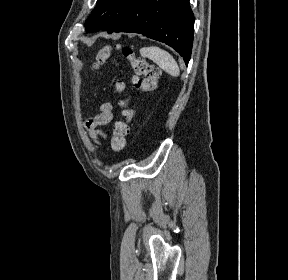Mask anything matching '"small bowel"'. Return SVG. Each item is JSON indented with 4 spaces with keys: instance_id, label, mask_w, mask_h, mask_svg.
<instances>
[{
    "instance_id": "c3829d8e",
    "label": "small bowel",
    "mask_w": 288,
    "mask_h": 280,
    "mask_svg": "<svg viewBox=\"0 0 288 280\" xmlns=\"http://www.w3.org/2000/svg\"><path fill=\"white\" fill-rule=\"evenodd\" d=\"M99 109L100 113L87 119L84 124L90 136L95 140L105 138V134L102 133L98 127L109 124L113 120L114 116L113 105L111 102H102Z\"/></svg>"
}]
</instances>
